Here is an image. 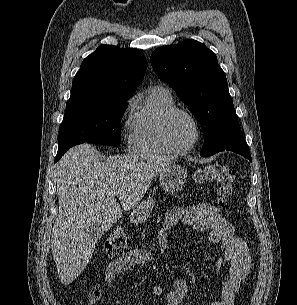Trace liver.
I'll use <instances>...</instances> for the list:
<instances>
[{
	"instance_id": "6515ba94",
	"label": "liver",
	"mask_w": 297,
	"mask_h": 305,
	"mask_svg": "<svg viewBox=\"0 0 297 305\" xmlns=\"http://www.w3.org/2000/svg\"><path fill=\"white\" fill-rule=\"evenodd\" d=\"M174 156L128 154L100 161L90 144L68 150L56 165L59 214L51 250L58 277L72 283L86 268L96 247L87 232L92 224L110 229L142 200L154 177ZM118 193L120 204L114 196ZM122 208V209H121Z\"/></svg>"
}]
</instances>
